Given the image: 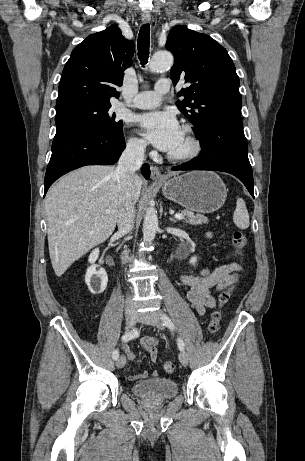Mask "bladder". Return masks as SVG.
Here are the masks:
<instances>
[{
  "mask_svg": "<svg viewBox=\"0 0 305 461\" xmlns=\"http://www.w3.org/2000/svg\"><path fill=\"white\" fill-rule=\"evenodd\" d=\"M132 391L143 398L163 401L175 397L179 388L171 378H150L134 383Z\"/></svg>",
  "mask_w": 305,
  "mask_h": 461,
  "instance_id": "bladder-1",
  "label": "bladder"
}]
</instances>
